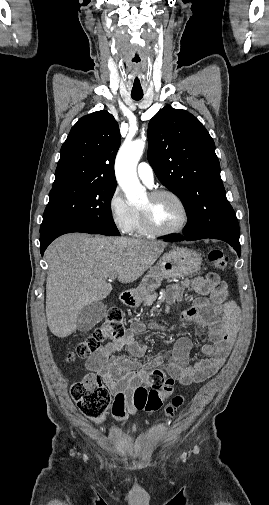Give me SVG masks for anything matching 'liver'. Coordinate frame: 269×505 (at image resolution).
I'll return each instance as SVG.
<instances>
[{
	"instance_id": "6515ba94",
	"label": "liver",
	"mask_w": 269,
	"mask_h": 505,
	"mask_svg": "<svg viewBox=\"0 0 269 505\" xmlns=\"http://www.w3.org/2000/svg\"><path fill=\"white\" fill-rule=\"evenodd\" d=\"M164 250L160 242L128 237L66 234L46 250V317L57 337L71 335L80 311L105 299L112 290L107 278L121 283L141 277Z\"/></svg>"
}]
</instances>
